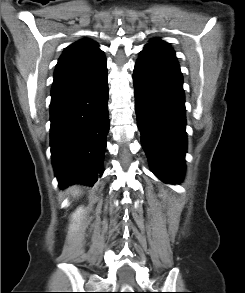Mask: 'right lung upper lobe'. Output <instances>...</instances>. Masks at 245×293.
I'll use <instances>...</instances> for the list:
<instances>
[{"label":"right lung upper lobe","mask_w":245,"mask_h":293,"mask_svg":"<svg viewBox=\"0 0 245 293\" xmlns=\"http://www.w3.org/2000/svg\"><path fill=\"white\" fill-rule=\"evenodd\" d=\"M106 68V58L90 39L68 46L57 63L51 95L63 92L97 75Z\"/></svg>","instance_id":"1"}]
</instances>
